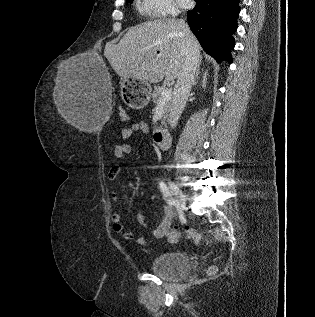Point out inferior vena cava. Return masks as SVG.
<instances>
[{
    "label": "inferior vena cava",
    "mask_w": 315,
    "mask_h": 317,
    "mask_svg": "<svg viewBox=\"0 0 315 317\" xmlns=\"http://www.w3.org/2000/svg\"><path fill=\"white\" fill-rule=\"evenodd\" d=\"M173 16H177V13H174ZM181 24L183 31H185L187 25L184 21H181ZM181 54L183 56L182 70L177 78V83L174 88L171 107L169 110V124L171 127L176 126L178 123L190 93L199 61V56L194 52L192 43L186 38L182 44Z\"/></svg>",
    "instance_id": "1"
}]
</instances>
